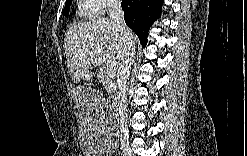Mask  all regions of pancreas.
<instances>
[{"label":"pancreas","instance_id":"pancreas-1","mask_svg":"<svg viewBox=\"0 0 247 156\" xmlns=\"http://www.w3.org/2000/svg\"><path fill=\"white\" fill-rule=\"evenodd\" d=\"M99 81H101L104 84L105 89L108 93H110L114 86V75L108 72H100L98 75Z\"/></svg>","mask_w":247,"mask_h":156}]
</instances>
